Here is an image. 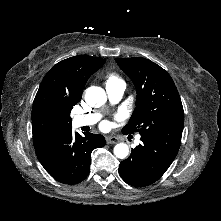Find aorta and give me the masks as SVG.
<instances>
[{"mask_svg":"<svg viewBox=\"0 0 221 221\" xmlns=\"http://www.w3.org/2000/svg\"><path fill=\"white\" fill-rule=\"evenodd\" d=\"M106 93L101 87L91 86L87 88L85 101L90 106H101L106 102ZM129 147L125 143H118L114 147V155L119 159H124L128 156Z\"/></svg>","mask_w":221,"mask_h":221,"instance_id":"1","label":"aorta"}]
</instances>
